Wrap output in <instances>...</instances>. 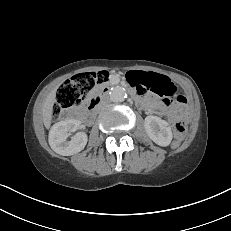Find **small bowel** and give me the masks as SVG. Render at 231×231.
<instances>
[{
    "mask_svg": "<svg viewBox=\"0 0 231 231\" xmlns=\"http://www.w3.org/2000/svg\"><path fill=\"white\" fill-rule=\"evenodd\" d=\"M132 75H139L140 79L134 81ZM127 81L137 85V91L143 93L148 90L151 95L147 98L146 108L150 113L162 114L171 112L170 96L175 92V86L168 76L153 71H130L127 75ZM185 111L183 107L181 109Z\"/></svg>",
    "mask_w": 231,
    "mask_h": 231,
    "instance_id": "c3829d8e",
    "label": "small bowel"
}]
</instances>
